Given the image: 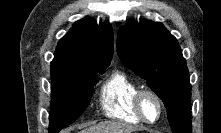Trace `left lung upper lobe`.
Returning <instances> with one entry per match:
<instances>
[{
	"label": "left lung upper lobe",
	"instance_id": "left-lung-upper-lobe-1",
	"mask_svg": "<svg viewBox=\"0 0 221 133\" xmlns=\"http://www.w3.org/2000/svg\"><path fill=\"white\" fill-rule=\"evenodd\" d=\"M121 61L163 100L174 133H191V85L177 40L159 22L128 23L119 31Z\"/></svg>",
	"mask_w": 221,
	"mask_h": 133
}]
</instances>
